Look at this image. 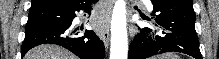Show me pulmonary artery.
Returning a JSON list of instances; mask_svg holds the SVG:
<instances>
[{
	"label": "pulmonary artery",
	"mask_w": 219,
	"mask_h": 59,
	"mask_svg": "<svg viewBox=\"0 0 219 59\" xmlns=\"http://www.w3.org/2000/svg\"><path fill=\"white\" fill-rule=\"evenodd\" d=\"M143 6L146 8V10L151 11L152 10V6L150 4V1H142Z\"/></svg>",
	"instance_id": "obj_1"
}]
</instances>
